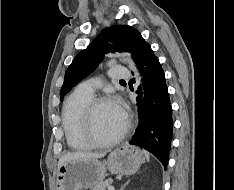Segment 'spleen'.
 Masks as SVG:
<instances>
[{
	"mask_svg": "<svg viewBox=\"0 0 234 190\" xmlns=\"http://www.w3.org/2000/svg\"><path fill=\"white\" fill-rule=\"evenodd\" d=\"M143 153L145 154V157H146L147 161H149V159H150V155H149V153H148V152H146V151H143Z\"/></svg>",
	"mask_w": 234,
	"mask_h": 190,
	"instance_id": "spleen-1",
	"label": "spleen"
}]
</instances>
